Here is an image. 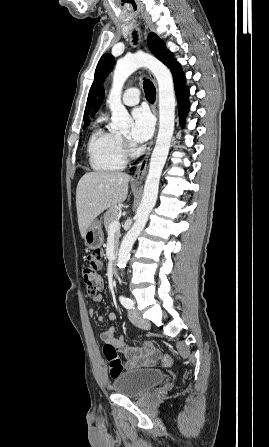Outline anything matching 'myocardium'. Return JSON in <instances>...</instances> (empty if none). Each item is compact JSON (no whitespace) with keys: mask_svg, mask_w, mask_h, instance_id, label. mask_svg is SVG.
<instances>
[{"mask_svg":"<svg viewBox=\"0 0 269 447\" xmlns=\"http://www.w3.org/2000/svg\"><path fill=\"white\" fill-rule=\"evenodd\" d=\"M130 146H131V148H132V150H133V145L130 143Z\"/></svg>","mask_w":269,"mask_h":447,"instance_id":"myocardium-1","label":"myocardium"}]
</instances>
